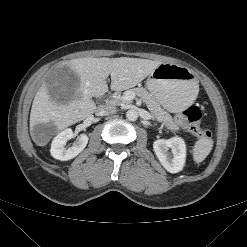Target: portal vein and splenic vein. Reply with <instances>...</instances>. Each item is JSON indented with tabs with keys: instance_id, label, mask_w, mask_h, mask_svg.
I'll use <instances>...</instances> for the list:
<instances>
[{
	"instance_id": "18ae733b",
	"label": "portal vein and splenic vein",
	"mask_w": 247,
	"mask_h": 247,
	"mask_svg": "<svg viewBox=\"0 0 247 247\" xmlns=\"http://www.w3.org/2000/svg\"><path fill=\"white\" fill-rule=\"evenodd\" d=\"M134 97H135V95L132 94V93L129 92V91H127L126 94H125V96H124V98H125L126 100H132Z\"/></svg>"
}]
</instances>
